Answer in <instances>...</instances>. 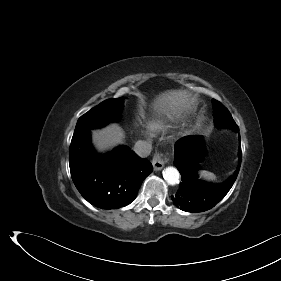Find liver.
Listing matches in <instances>:
<instances>
[{
  "label": "liver",
  "mask_w": 281,
  "mask_h": 281,
  "mask_svg": "<svg viewBox=\"0 0 281 281\" xmlns=\"http://www.w3.org/2000/svg\"><path fill=\"white\" fill-rule=\"evenodd\" d=\"M190 106V95L185 90H170L158 95L152 108L158 116L168 119L180 118ZM125 134L117 124H110L103 129L94 130L92 142L99 152H104L124 142Z\"/></svg>",
  "instance_id": "1"
}]
</instances>
